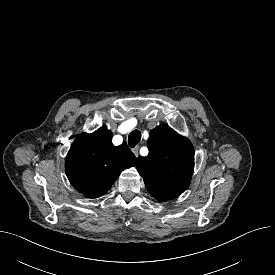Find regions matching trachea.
Listing matches in <instances>:
<instances>
[{"label": "trachea", "instance_id": "obj_1", "mask_svg": "<svg viewBox=\"0 0 275 275\" xmlns=\"http://www.w3.org/2000/svg\"><path fill=\"white\" fill-rule=\"evenodd\" d=\"M141 140V132L134 130L128 135V144L130 147H135Z\"/></svg>", "mask_w": 275, "mask_h": 275}]
</instances>
